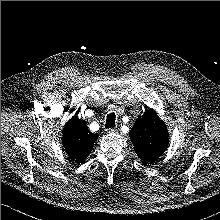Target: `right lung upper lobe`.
<instances>
[{"label":"right lung upper lobe","instance_id":"1","mask_svg":"<svg viewBox=\"0 0 220 220\" xmlns=\"http://www.w3.org/2000/svg\"><path fill=\"white\" fill-rule=\"evenodd\" d=\"M62 143L71 160L81 163L90 154L98 134L90 133L85 121L73 116L64 126Z\"/></svg>","mask_w":220,"mask_h":220}]
</instances>
